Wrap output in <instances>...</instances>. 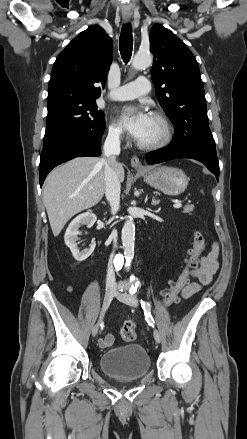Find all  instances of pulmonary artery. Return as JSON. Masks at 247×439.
<instances>
[{
	"mask_svg": "<svg viewBox=\"0 0 247 439\" xmlns=\"http://www.w3.org/2000/svg\"><path fill=\"white\" fill-rule=\"evenodd\" d=\"M150 91V82L146 77H139L133 82L125 84L112 91L109 96L118 101L135 99Z\"/></svg>",
	"mask_w": 247,
	"mask_h": 439,
	"instance_id": "1",
	"label": "pulmonary artery"
}]
</instances>
